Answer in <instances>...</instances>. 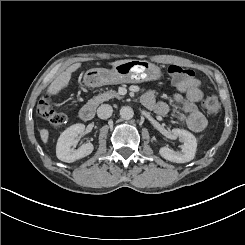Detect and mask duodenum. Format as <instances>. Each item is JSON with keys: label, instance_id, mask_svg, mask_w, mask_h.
<instances>
[{"label": "duodenum", "instance_id": "obj_1", "mask_svg": "<svg viewBox=\"0 0 245 245\" xmlns=\"http://www.w3.org/2000/svg\"><path fill=\"white\" fill-rule=\"evenodd\" d=\"M80 118L84 121H90L95 115V108L92 104L84 105L79 112Z\"/></svg>", "mask_w": 245, "mask_h": 245}]
</instances>
